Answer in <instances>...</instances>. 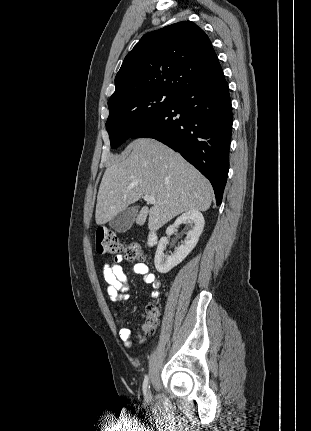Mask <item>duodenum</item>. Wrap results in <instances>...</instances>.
I'll list each match as a JSON object with an SVG mask.
<instances>
[{
  "instance_id": "1",
  "label": "duodenum",
  "mask_w": 311,
  "mask_h": 431,
  "mask_svg": "<svg viewBox=\"0 0 311 431\" xmlns=\"http://www.w3.org/2000/svg\"><path fill=\"white\" fill-rule=\"evenodd\" d=\"M156 242H157V234L155 232H150L148 234V239H147L148 245L150 247L154 246L156 244Z\"/></svg>"
}]
</instances>
